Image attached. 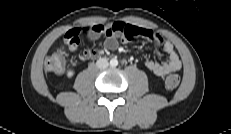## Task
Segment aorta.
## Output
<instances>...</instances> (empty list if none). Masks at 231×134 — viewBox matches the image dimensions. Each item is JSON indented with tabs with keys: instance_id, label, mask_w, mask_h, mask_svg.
Masks as SVG:
<instances>
[{
	"instance_id": "1",
	"label": "aorta",
	"mask_w": 231,
	"mask_h": 134,
	"mask_svg": "<svg viewBox=\"0 0 231 134\" xmlns=\"http://www.w3.org/2000/svg\"><path fill=\"white\" fill-rule=\"evenodd\" d=\"M110 65L112 66V67H115V66H117L118 65V60L117 59H111L110 60Z\"/></svg>"
}]
</instances>
